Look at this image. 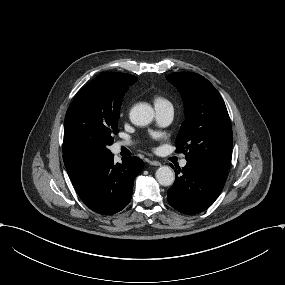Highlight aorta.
I'll return each instance as SVG.
<instances>
[{"label": "aorta", "mask_w": 285, "mask_h": 285, "mask_svg": "<svg viewBox=\"0 0 285 285\" xmlns=\"http://www.w3.org/2000/svg\"><path fill=\"white\" fill-rule=\"evenodd\" d=\"M154 117L153 108L147 104L134 106L130 111V120L136 126L150 124ZM156 179L162 186H170L175 180V174L169 166H161L156 171Z\"/></svg>", "instance_id": "762f6f07"}]
</instances>
